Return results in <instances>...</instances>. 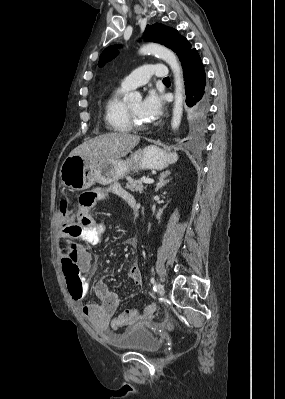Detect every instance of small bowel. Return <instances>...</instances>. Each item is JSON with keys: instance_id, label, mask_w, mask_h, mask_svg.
Masks as SVG:
<instances>
[{"instance_id": "small-bowel-1", "label": "small bowel", "mask_w": 285, "mask_h": 399, "mask_svg": "<svg viewBox=\"0 0 285 399\" xmlns=\"http://www.w3.org/2000/svg\"><path fill=\"white\" fill-rule=\"evenodd\" d=\"M97 194V200L107 199L108 196L100 191H94ZM112 194L120 197L130 207V209L137 214L139 211V205L135 197L128 191L120 188H116L112 191ZM91 207H82L81 211L84 217L87 219V223L83 226L73 224V212H69L66 216H63L58 211V217L62 222V227L59 232V240L62 242H71L72 240L82 241L89 244H97L101 236L106 232V226L101 221L93 219L90 215ZM69 248H62L60 250L61 259H65L70 256ZM76 259L84 273L89 272L91 268V254L82 247H78L76 250ZM128 279L135 286H141L143 282L142 274L139 267L134 264L128 271ZM82 293L79 299L73 298V300L80 303L81 311L84 317L93 325V327L99 331H106L111 329V320L118 308L119 297L116 292H113L109 287L100 281H97L93 285V291L98 299V303H86L84 302L85 294L90 290V281L87 277L83 278L82 282ZM140 320V318H139ZM138 322V321H137ZM120 329V328H119Z\"/></svg>"}]
</instances>
